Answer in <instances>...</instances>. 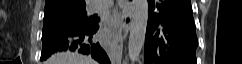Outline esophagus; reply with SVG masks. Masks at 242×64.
I'll use <instances>...</instances> for the list:
<instances>
[{
  "label": "esophagus",
  "instance_id": "1",
  "mask_svg": "<svg viewBox=\"0 0 242 64\" xmlns=\"http://www.w3.org/2000/svg\"><path fill=\"white\" fill-rule=\"evenodd\" d=\"M134 1L125 0L123 5L122 16L120 19V27L118 32V38L120 41H124L128 35L131 26V20L134 12Z\"/></svg>",
  "mask_w": 242,
  "mask_h": 64
}]
</instances>
